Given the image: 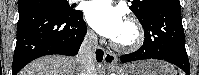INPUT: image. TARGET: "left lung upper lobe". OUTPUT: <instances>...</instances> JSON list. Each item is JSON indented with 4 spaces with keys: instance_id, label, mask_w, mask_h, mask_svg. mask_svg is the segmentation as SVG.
Returning <instances> with one entry per match:
<instances>
[{
    "instance_id": "obj_1",
    "label": "left lung upper lobe",
    "mask_w": 199,
    "mask_h": 75,
    "mask_svg": "<svg viewBox=\"0 0 199 75\" xmlns=\"http://www.w3.org/2000/svg\"><path fill=\"white\" fill-rule=\"evenodd\" d=\"M179 0H132L131 6L129 7L132 12L136 15L140 22H143L149 13L155 9L158 5Z\"/></svg>"
}]
</instances>
